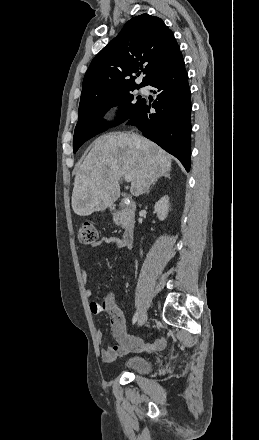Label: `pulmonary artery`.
Wrapping results in <instances>:
<instances>
[{
  "label": "pulmonary artery",
  "instance_id": "e3ab8cb5",
  "mask_svg": "<svg viewBox=\"0 0 259 440\" xmlns=\"http://www.w3.org/2000/svg\"><path fill=\"white\" fill-rule=\"evenodd\" d=\"M140 91H141L142 93H145V92H146V88H143V87H142V88L140 89Z\"/></svg>",
  "mask_w": 259,
  "mask_h": 440
}]
</instances>
